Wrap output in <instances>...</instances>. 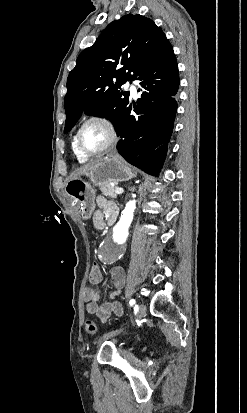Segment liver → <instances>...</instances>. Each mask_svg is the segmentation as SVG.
<instances>
[{"mask_svg": "<svg viewBox=\"0 0 247 413\" xmlns=\"http://www.w3.org/2000/svg\"><path fill=\"white\" fill-rule=\"evenodd\" d=\"M97 162H99V160H96L94 164H97ZM94 164H91V162H89V164H83V166H80V168H76V170H73L69 178H79L81 174H84V172H88V170H91V168H94Z\"/></svg>", "mask_w": 247, "mask_h": 413, "instance_id": "liver-1", "label": "liver"}]
</instances>
